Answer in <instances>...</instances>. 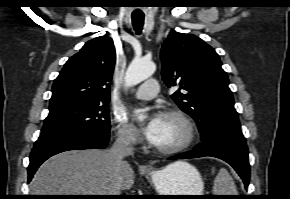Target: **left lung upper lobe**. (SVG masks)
I'll return each instance as SVG.
<instances>
[{
    "instance_id": "obj_1",
    "label": "left lung upper lobe",
    "mask_w": 290,
    "mask_h": 199,
    "mask_svg": "<svg viewBox=\"0 0 290 199\" xmlns=\"http://www.w3.org/2000/svg\"><path fill=\"white\" fill-rule=\"evenodd\" d=\"M161 60L165 84L179 86L172 99L196 121L202 137L217 129L241 130L228 76L211 46L174 32L162 45Z\"/></svg>"
}]
</instances>
